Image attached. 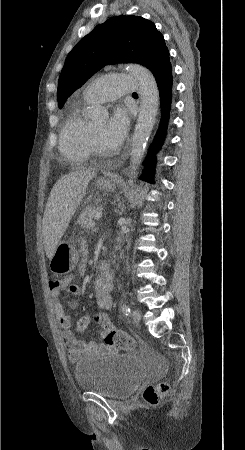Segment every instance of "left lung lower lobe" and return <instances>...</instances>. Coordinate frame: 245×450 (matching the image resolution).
Here are the masks:
<instances>
[{
  "instance_id": "0a47b994",
  "label": "left lung lower lobe",
  "mask_w": 245,
  "mask_h": 450,
  "mask_svg": "<svg viewBox=\"0 0 245 450\" xmlns=\"http://www.w3.org/2000/svg\"><path fill=\"white\" fill-rule=\"evenodd\" d=\"M153 75L158 85L160 100H161V123L157 135L152 144V152L149 154L146 161V166L142 179L147 182L153 181V171L155 165L154 155L156 151L161 147L167 126V120L170 111L171 96H172V74H171V64L168 60L159 68H157Z\"/></svg>"
}]
</instances>
